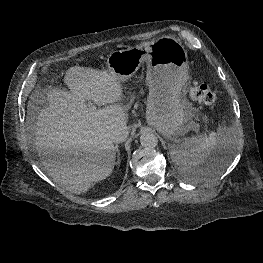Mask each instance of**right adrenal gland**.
<instances>
[{
	"mask_svg": "<svg viewBox=\"0 0 263 263\" xmlns=\"http://www.w3.org/2000/svg\"><path fill=\"white\" fill-rule=\"evenodd\" d=\"M116 152H117V162L116 164L119 165L120 164V152H119V146L116 145L115 146Z\"/></svg>",
	"mask_w": 263,
	"mask_h": 263,
	"instance_id": "1",
	"label": "right adrenal gland"
}]
</instances>
